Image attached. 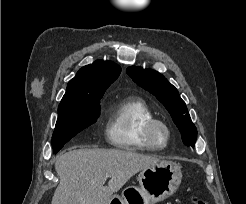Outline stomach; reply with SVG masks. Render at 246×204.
Instances as JSON below:
<instances>
[{
    "mask_svg": "<svg viewBox=\"0 0 246 204\" xmlns=\"http://www.w3.org/2000/svg\"><path fill=\"white\" fill-rule=\"evenodd\" d=\"M181 179L179 164L160 161L140 172L139 187L125 188L121 195H113L106 204H154L173 195Z\"/></svg>",
    "mask_w": 246,
    "mask_h": 204,
    "instance_id": "stomach-1",
    "label": "stomach"
}]
</instances>
